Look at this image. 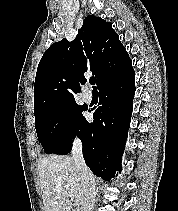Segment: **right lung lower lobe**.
<instances>
[{"label":"right lung lower lobe","instance_id":"98d812e1","mask_svg":"<svg viewBox=\"0 0 178 211\" xmlns=\"http://www.w3.org/2000/svg\"><path fill=\"white\" fill-rule=\"evenodd\" d=\"M134 76L131 67L122 75L102 83L98 87L99 107L93 113L94 121L89 123L85 119L77 132L87 166L103 180H110L117 170H121L135 93ZM71 149L72 140L54 154H68Z\"/></svg>","mask_w":178,"mask_h":211}]
</instances>
